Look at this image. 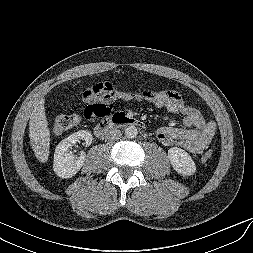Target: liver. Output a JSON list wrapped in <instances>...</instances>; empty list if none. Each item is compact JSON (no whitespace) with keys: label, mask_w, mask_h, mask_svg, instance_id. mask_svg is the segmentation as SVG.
<instances>
[{"label":"liver","mask_w":253,"mask_h":253,"mask_svg":"<svg viewBox=\"0 0 253 253\" xmlns=\"http://www.w3.org/2000/svg\"><path fill=\"white\" fill-rule=\"evenodd\" d=\"M45 100L42 98L34 107L29 121V137L36 158L45 163L50 154V130L45 116Z\"/></svg>","instance_id":"liver-1"}]
</instances>
